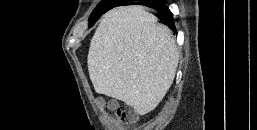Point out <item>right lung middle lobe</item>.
<instances>
[{
  "mask_svg": "<svg viewBox=\"0 0 257 130\" xmlns=\"http://www.w3.org/2000/svg\"><path fill=\"white\" fill-rule=\"evenodd\" d=\"M121 2H125V1L101 0L99 4L96 6V8L94 9V11L92 12V14L90 15V18H89L90 26H92L97 21L99 16L105 13L108 9L115 6H120L119 4Z\"/></svg>",
  "mask_w": 257,
  "mask_h": 130,
  "instance_id": "1",
  "label": "right lung middle lobe"
}]
</instances>
